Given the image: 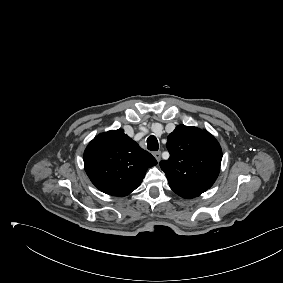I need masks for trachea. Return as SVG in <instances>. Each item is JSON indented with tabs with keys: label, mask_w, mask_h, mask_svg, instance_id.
I'll return each mask as SVG.
<instances>
[{
	"label": "trachea",
	"mask_w": 283,
	"mask_h": 283,
	"mask_svg": "<svg viewBox=\"0 0 283 283\" xmlns=\"http://www.w3.org/2000/svg\"><path fill=\"white\" fill-rule=\"evenodd\" d=\"M147 148L150 151H157L158 150V148H159L158 140H157V138L155 136L148 137V139H147Z\"/></svg>",
	"instance_id": "obj_1"
}]
</instances>
